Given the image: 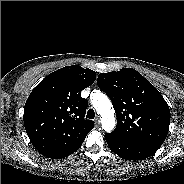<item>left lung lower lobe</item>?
Segmentation results:
<instances>
[{"label":"left lung lower lobe","mask_w":184,"mask_h":184,"mask_svg":"<svg viewBox=\"0 0 184 184\" xmlns=\"http://www.w3.org/2000/svg\"><path fill=\"white\" fill-rule=\"evenodd\" d=\"M105 139L110 149L126 160H143L154 154L153 151L127 141L113 133L105 134Z\"/></svg>","instance_id":"obj_1"}]
</instances>
